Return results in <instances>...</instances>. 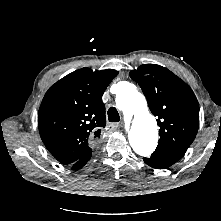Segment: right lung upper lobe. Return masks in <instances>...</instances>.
Wrapping results in <instances>:
<instances>
[{"mask_svg":"<svg viewBox=\"0 0 221 221\" xmlns=\"http://www.w3.org/2000/svg\"><path fill=\"white\" fill-rule=\"evenodd\" d=\"M116 70H76L51 86L38 112L40 136L62 164L72 165L91 153L90 142L106 125L102 95Z\"/></svg>","mask_w":221,"mask_h":221,"instance_id":"obj_1","label":"right lung upper lobe"}]
</instances>
